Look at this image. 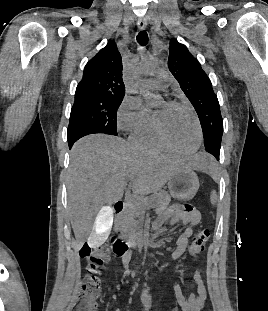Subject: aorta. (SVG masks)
<instances>
[{
    "mask_svg": "<svg viewBox=\"0 0 268 311\" xmlns=\"http://www.w3.org/2000/svg\"><path fill=\"white\" fill-rule=\"evenodd\" d=\"M157 67L158 61L156 59L145 58L138 63L136 71L140 76L149 75L154 73ZM137 87L140 90V92H142L145 95V97H147L149 105H156L160 102L161 98L157 95L151 94L150 89L144 82V80L141 79L138 82Z\"/></svg>",
    "mask_w": 268,
    "mask_h": 311,
    "instance_id": "aorta-1",
    "label": "aorta"
}]
</instances>
